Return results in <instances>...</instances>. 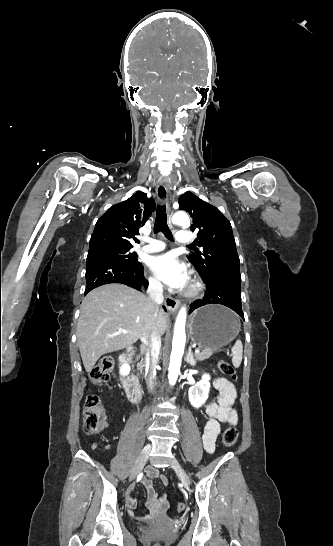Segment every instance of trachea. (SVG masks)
I'll return each instance as SVG.
<instances>
[{"instance_id": "3493384b", "label": "trachea", "mask_w": 333, "mask_h": 546, "mask_svg": "<svg viewBox=\"0 0 333 546\" xmlns=\"http://www.w3.org/2000/svg\"><path fill=\"white\" fill-rule=\"evenodd\" d=\"M165 206L157 207L156 219L154 224V233L162 232L169 240H173L172 233L167 225Z\"/></svg>"}]
</instances>
